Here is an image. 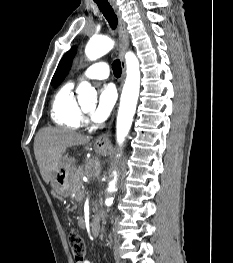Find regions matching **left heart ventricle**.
Returning a JSON list of instances; mask_svg holds the SVG:
<instances>
[{
	"instance_id": "left-heart-ventricle-1",
	"label": "left heart ventricle",
	"mask_w": 233,
	"mask_h": 263,
	"mask_svg": "<svg viewBox=\"0 0 233 263\" xmlns=\"http://www.w3.org/2000/svg\"><path fill=\"white\" fill-rule=\"evenodd\" d=\"M92 110V106H89V107H85V111L89 112Z\"/></svg>"
}]
</instances>
